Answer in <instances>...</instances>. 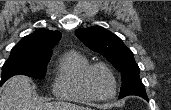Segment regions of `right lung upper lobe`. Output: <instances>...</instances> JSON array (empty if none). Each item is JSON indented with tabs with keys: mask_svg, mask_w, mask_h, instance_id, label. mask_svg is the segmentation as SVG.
I'll list each match as a JSON object with an SVG mask.
<instances>
[{
	"mask_svg": "<svg viewBox=\"0 0 171 110\" xmlns=\"http://www.w3.org/2000/svg\"><path fill=\"white\" fill-rule=\"evenodd\" d=\"M60 38L59 31L40 29L22 38L12 50L25 55L49 56L52 55V48L59 42Z\"/></svg>",
	"mask_w": 171,
	"mask_h": 110,
	"instance_id": "1",
	"label": "right lung upper lobe"
}]
</instances>
